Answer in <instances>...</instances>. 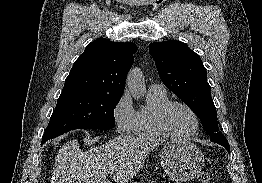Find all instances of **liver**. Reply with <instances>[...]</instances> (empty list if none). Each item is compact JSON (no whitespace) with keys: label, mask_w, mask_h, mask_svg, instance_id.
<instances>
[{"label":"liver","mask_w":262,"mask_h":183,"mask_svg":"<svg viewBox=\"0 0 262 183\" xmlns=\"http://www.w3.org/2000/svg\"><path fill=\"white\" fill-rule=\"evenodd\" d=\"M164 140L131 135L117 136L101 146L83 152L77 140L60 148L51 183H127L142 167L146 156Z\"/></svg>","instance_id":"1"}]
</instances>
